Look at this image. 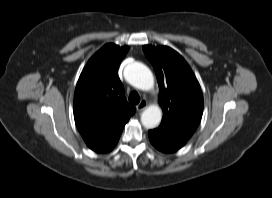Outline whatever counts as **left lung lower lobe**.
Listing matches in <instances>:
<instances>
[{
    "label": "left lung lower lobe",
    "instance_id": "left-lung-lower-lobe-1",
    "mask_svg": "<svg viewBox=\"0 0 272 198\" xmlns=\"http://www.w3.org/2000/svg\"><path fill=\"white\" fill-rule=\"evenodd\" d=\"M148 135L153 146L164 153L177 151L192 136L191 133L179 130L165 123H161L154 130H150Z\"/></svg>",
    "mask_w": 272,
    "mask_h": 198
}]
</instances>
